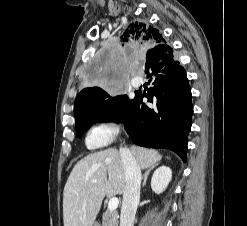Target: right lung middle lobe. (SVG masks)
I'll return each instance as SVG.
<instances>
[{"mask_svg":"<svg viewBox=\"0 0 247 226\" xmlns=\"http://www.w3.org/2000/svg\"><path fill=\"white\" fill-rule=\"evenodd\" d=\"M94 97L84 101L76 118L77 137L88 130L96 121H107L112 114L121 109L128 100L126 95L110 96L103 89Z\"/></svg>","mask_w":247,"mask_h":226,"instance_id":"1","label":"right lung middle lobe"}]
</instances>
